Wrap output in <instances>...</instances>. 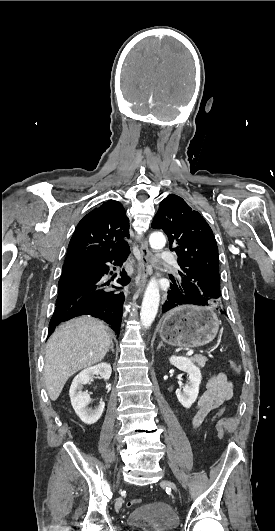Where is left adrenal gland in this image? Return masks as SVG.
<instances>
[{"label":"left adrenal gland","instance_id":"obj_1","mask_svg":"<svg viewBox=\"0 0 275 531\" xmlns=\"http://www.w3.org/2000/svg\"><path fill=\"white\" fill-rule=\"evenodd\" d=\"M161 347H165V345H163V343H159V345L157 347V351H159V349H161Z\"/></svg>","mask_w":275,"mask_h":531}]
</instances>
